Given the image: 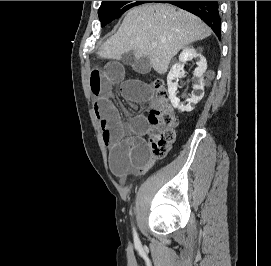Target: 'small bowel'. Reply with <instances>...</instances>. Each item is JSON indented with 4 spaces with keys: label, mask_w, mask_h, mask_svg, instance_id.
<instances>
[{
    "label": "small bowel",
    "mask_w": 271,
    "mask_h": 266,
    "mask_svg": "<svg viewBox=\"0 0 271 266\" xmlns=\"http://www.w3.org/2000/svg\"><path fill=\"white\" fill-rule=\"evenodd\" d=\"M131 64L139 72L148 69L147 63L142 60H135ZM125 75L123 63L109 61L104 67L93 69L89 76L94 98L93 110L101 127L103 141L110 149V168L121 179L128 173L141 176L154 164L144 139L148 130L146 118L139 115L124 123L113 102L115 85L132 102H144L152 93L144 82L126 79Z\"/></svg>",
    "instance_id": "obj_1"
}]
</instances>
